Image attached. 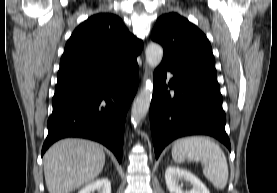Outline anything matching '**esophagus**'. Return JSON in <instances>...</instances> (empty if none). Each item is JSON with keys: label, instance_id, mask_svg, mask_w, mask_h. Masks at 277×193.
Masks as SVG:
<instances>
[{"label": "esophagus", "instance_id": "1", "mask_svg": "<svg viewBox=\"0 0 277 193\" xmlns=\"http://www.w3.org/2000/svg\"><path fill=\"white\" fill-rule=\"evenodd\" d=\"M148 73H149V70H148V67L145 66V69H144V76H143V83L145 82L147 76H148Z\"/></svg>", "mask_w": 277, "mask_h": 193}]
</instances>
